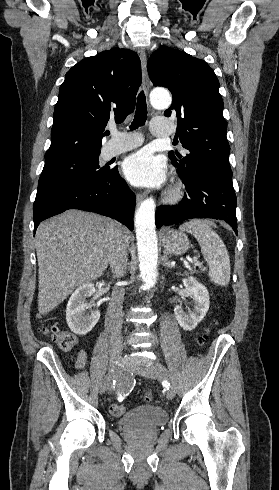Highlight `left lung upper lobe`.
<instances>
[{"instance_id": "1", "label": "left lung upper lobe", "mask_w": 279, "mask_h": 490, "mask_svg": "<svg viewBox=\"0 0 279 490\" xmlns=\"http://www.w3.org/2000/svg\"><path fill=\"white\" fill-rule=\"evenodd\" d=\"M147 68L153 84L167 87L173 95V103L164 115L176 113V137L189 151L184 157L169 152L179 176L200 168L232 175L227 123L214 71L205 61L169 47L155 51Z\"/></svg>"}]
</instances>
